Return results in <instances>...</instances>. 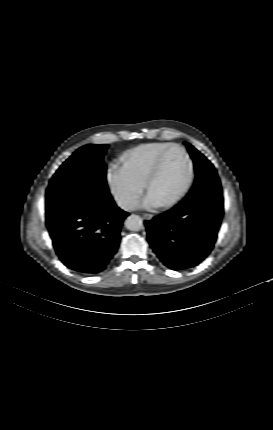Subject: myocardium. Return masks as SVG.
Returning <instances> with one entry per match:
<instances>
[{"instance_id":"myocardium-1","label":"myocardium","mask_w":273,"mask_h":430,"mask_svg":"<svg viewBox=\"0 0 273 430\" xmlns=\"http://www.w3.org/2000/svg\"><path fill=\"white\" fill-rule=\"evenodd\" d=\"M173 149H178L180 150L186 161L188 164V176L186 179L185 184L183 185V187L181 188V190L169 201L162 203V207H172L174 205H176L180 200H182V198L187 194V192L189 191L192 183H193V179H194V166H193V161L189 155V153L187 152V150L179 145V144H171L168 147H166L164 150L161 151V153L158 155L151 171L149 172L146 181H145V187L146 189L149 191L150 186L152 184V182L154 181V179L159 175L161 168H162V164H163V160L166 156V154L173 150Z\"/></svg>"}]
</instances>
